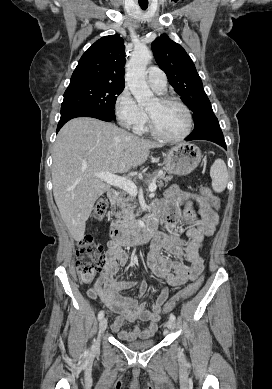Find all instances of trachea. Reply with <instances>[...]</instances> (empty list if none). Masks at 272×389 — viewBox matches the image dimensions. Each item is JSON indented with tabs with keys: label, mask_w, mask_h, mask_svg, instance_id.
I'll use <instances>...</instances> for the list:
<instances>
[{
	"label": "trachea",
	"mask_w": 272,
	"mask_h": 389,
	"mask_svg": "<svg viewBox=\"0 0 272 389\" xmlns=\"http://www.w3.org/2000/svg\"><path fill=\"white\" fill-rule=\"evenodd\" d=\"M142 10H146L148 8V4H139Z\"/></svg>",
	"instance_id": "3493384b"
}]
</instances>
